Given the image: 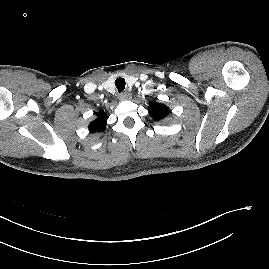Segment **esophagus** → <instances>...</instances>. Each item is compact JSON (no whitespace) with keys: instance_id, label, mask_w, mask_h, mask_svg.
Masks as SVG:
<instances>
[{"instance_id":"esophagus-1","label":"esophagus","mask_w":269,"mask_h":269,"mask_svg":"<svg viewBox=\"0 0 269 269\" xmlns=\"http://www.w3.org/2000/svg\"><path fill=\"white\" fill-rule=\"evenodd\" d=\"M132 98V94L129 92H124L119 95V99L124 101V100H130Z\"/></svg>"}]
</instances>
